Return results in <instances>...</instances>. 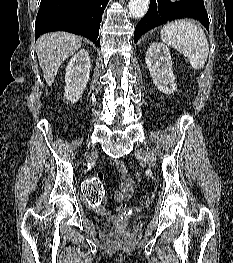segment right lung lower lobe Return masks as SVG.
<instances>
[{
  "label": "right lung lower lobe",
  "instance_id": "right-lung-lower-lobe-1",
  "mask_svg": "<svg viewBox=\"0 0 233 263\" xmlns=\"http://www.w3.org/2000/svg\"><path fill=\"white\" fill-rule=\"evenodd\" d=\"M109 0H41L35 23V40L50 31L82 35L100 46L99 28Z\"/></svg>",
  "mask_w": 233,
  "mask_h": 263
}]
</instances>
